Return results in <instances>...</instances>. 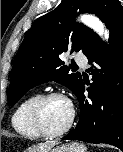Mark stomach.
I'll list each match as a JSON object with an SVG mask.
<instances>
[{
    "label": "stomach",
    "instance_id": "1",
    "mask_svg": "<svg viewBox=\"0 0 123 152\" xmlns=\"http://www.w3.org/2000/svg\"><path fill=\"white\" fill-rule=\"evenodd\" d=\"M49 152H86V147L78 142H72L57 146Z\"/></svg>",
    "mask_w": 123,
    "mask_h": 152
}]
</instances>
